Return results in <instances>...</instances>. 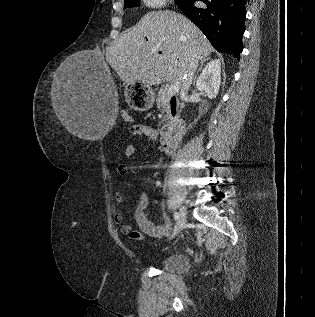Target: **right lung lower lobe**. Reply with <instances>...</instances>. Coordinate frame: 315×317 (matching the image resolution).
<instances>
[{
    "mask_svg": "<svg viewBox=\"0 0 315 317\" xmlns=\"http://www.w3.org/2000/svg\"><path fill=\"white\" fill-rule=\"evenodd\" d=\"M202 1L205 5L193 4ZM246 0H180L182 12L206 35L219 52L232 54L239 60L243 50Z\"/></svg>",
    "mask_w": 315,
    "mask_h": 317,
    "instance_id": "right-lung-lower-lobe-1",
    "label": "right lung lower lobe"
}]
</instances>
